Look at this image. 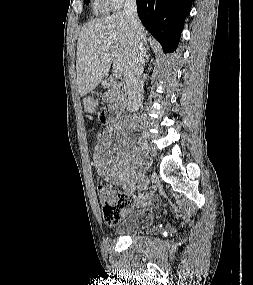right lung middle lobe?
Here are the masks:
<instances>
[{
  "label": "right lung middle lobe",
  "instance_id": "1",
  "mask_svg": "<svg viewBox=\"0 0 253 285\" xmlns=\"http://www.w3.org/2000/svg\"><path fill=\"white\" fill-rule=\"evenodd\" d=\"M88 1H89V0H84V3L88 4Z\"/></svg>",
  "mask_w": 253,
  "mask_h": 285
}]
</instances>
